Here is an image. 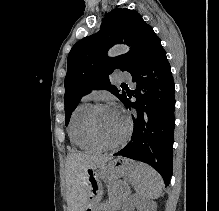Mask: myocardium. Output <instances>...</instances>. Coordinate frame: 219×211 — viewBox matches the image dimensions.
<instances>
[{
	"mask_svg": "<svg viewBox=\"0 0 219 211\" xmlns=\"http://www.w3.org/2000/svg\"><path fill=\"white\" fill-rule=\"evenodd\" d=\"M103 108H111V107L106 103H98V104L93 105L90 108L88 115H87V119H86L87 131L91 139L99 146L103 148H109V149L117 148L123 145L127 141L130 135V130L132 126L131 121L128 117L122 116L124 120L126 121V129H125L124 134L117 142H114V143L107 142L98 134L96 127H95V116L97 112Z\"/></svg>",
	"mask_w": 219,
	"mask_h": 211,
	"instance_id": "myocardium-1",
	"label": "myocardium"
}]
</instances>
